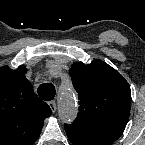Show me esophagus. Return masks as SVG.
<instances>
[{"label":"esophagus","mask_w":145,"mask_h":145,"mask_svg":"<svg viewBox=\"0 0 145 145\" xmlns=\"http://www.w3.org/2000/svg\"><path fill=\"white\" fill-rule=\"evenodd\" d=\"M48 104H49V107L51 108V111H52L53 113H55L56 110H57V106H56L55 100L50 101Z\"/></svg>","instance_id":"esophagus-1"}]
</instances>
